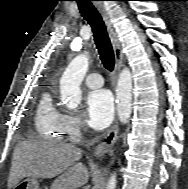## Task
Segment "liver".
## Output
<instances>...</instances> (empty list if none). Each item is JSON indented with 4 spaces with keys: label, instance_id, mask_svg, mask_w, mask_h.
Listing matches in <instances>:
<instances>
[{
    "label": "liver",
    "instance_id": "1",
    "mask_svg": "<svg viewBox=\"0 0 188 189\" xmlns=\"http://www.w3.org/2000/svg\"><path fill=\"white\" fill-rule=\"evenodd\" d=\"M82 150L53 141L20 142L13 152L7 186L17 185L23 178H54L59 176L63 189H76L88 182L87 167L77 162Z\"/></svg>",
    "mask_w": 188,
    "mask_h": 189
}]
</instances>
